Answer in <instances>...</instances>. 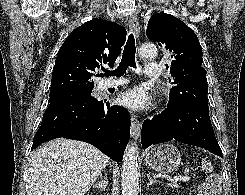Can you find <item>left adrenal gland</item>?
<instances>
[{"mask_svg": "<svg viewBox=\"0 0 245 195\" xmlns=\"http://www.w3.org/2000/svg\"><path fill=\"white\" fill-rule=\"evenodd\" d=\"M147 177H148V180H149L148 183H147V186H148V187L151 186V185L154 184V183H160L159 180L152 179V177H151L150 174H148Z\"/></svg>", "mask_w": 245, "mask_h": 195, "instance_id": "obj_1", "label": "left adrenal gland"}]
</instances>
